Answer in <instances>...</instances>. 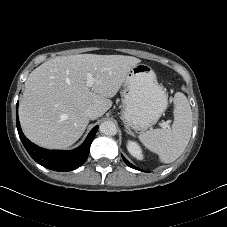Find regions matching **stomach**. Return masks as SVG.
Masks as SVG:
<instances>
[{"instance_id": "0dacf381", "label": "stomach", "mask_w": 227, "mask_h": 227, "mask_svg": "<svg viewBox=\"0 0 227 227\" xmlns=\"http://www.w3.org/2000/svg\"><path fill=\"white\" fill-rule=\"evenodd\" d=\"M122 86V120L134 131H145L156 124L167 108L168 95L153 69L136 64Z\"/></svg>"}]
</instances>
